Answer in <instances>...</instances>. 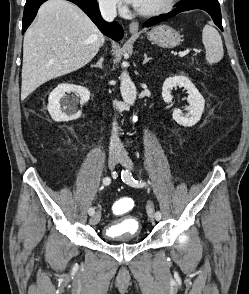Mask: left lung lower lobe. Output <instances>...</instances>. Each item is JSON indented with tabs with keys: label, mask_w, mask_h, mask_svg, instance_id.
<instances>
[{
	"label": "left lung lower lobe",
	"mask_w": 249,
	"mask_h": 294,
	"mask_svg": "<svg viewBox=\"0 0 249 294\" xmlns=\"http://www.w3.org/2000/svg\"><path fill=\"white\" fill-rule=\"evenodd\" d=\"M193 9H202L208 12L211 17L213 18L214 23L223 31L222 23H221V11L220 5L217 0H181L178 3V7L171 11L166 15H161L159 17L151 18L147 23L146 26H152L161 22L167 18L175 16L176 14Z\"/></svg>",
	"instance_id": "0a47b994"
}]
</instances>
